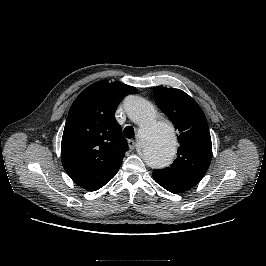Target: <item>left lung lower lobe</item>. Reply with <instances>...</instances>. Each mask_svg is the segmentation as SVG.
I'll use <instances>...</instances> for the list:
<instances>
[{"label":"left lung lower lobe","instance_id":"0a47b994","mask_svg":"<svg viewBox=\"0 0 266 266\" xmlns=\"http://www.w3.org/2000/svg\"><path fill=\"white\" fill-rule=\"evenodd\" d=\"M153 178H154V177H153ZM154 180H155L159 185H161L163 188H165L166 190H168L169 192H172V193H175V194L184 192L183 190H180V189H178V188H176V187H173V186H171V185H169V184H167V183H165V182H163V181H161V180H159V179H157V178H154Z\"/></svg>","mask_w":266,"mask_h":266}]
</instances>
